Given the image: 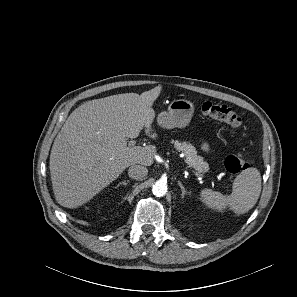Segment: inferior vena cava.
Masks as SVG:
<instances>
[{"instance_id": "obj_1", "label": "inferior vena cava", "mask_w": 297, "mask_h": 297, "mask_svg": "<svg viewBox=\"0 0 297 297\" xmlns=\"http://www.w3.org/2000/svg\"><path fill=\"white\" fill-rule=\"evenodd\" d=\"M147 173L148 169L142 165H132L128 169L129 177L136 180L144 178Z\"/></svg>"}]
</instances>
